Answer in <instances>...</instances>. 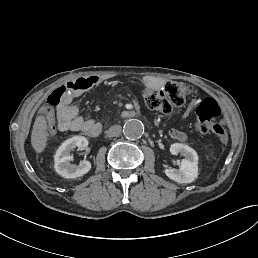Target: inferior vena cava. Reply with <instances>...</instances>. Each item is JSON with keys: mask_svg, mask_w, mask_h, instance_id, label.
<instances>
[{"mask_svg": "<svg viewBox=\"0 0 258 258\" xmlns=\"http://www.w3.org/2000/svg\"><path fill=\"white\" fill-rule=\"evenodd\" d=\"M122 127L120 125H113L107 131L108 137H116L121 134Z\"/></svg>", "mask_w": 258, "mask_h": 258, "instance_id": "inferior-vena-cava-1", "label": "inferior vena cava"}]
</instances>
